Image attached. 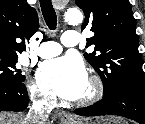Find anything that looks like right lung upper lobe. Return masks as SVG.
Listing matches in <instances>:
<instances>
[{
  "mask_svg": "<svg viewBox=\"0 0 145 124\" xmlns=\"http://www.w3.org/2000/svg\"><path fill=\"white\" fill-rule=\"evenodd\" d=\"M38 27L36 10L25 0H0V52L22 53Z\"/></svg>",
  "mask_w": 145,
  "mask_h": 124,
  "instance_id": "obj_1",
  "label": "right lung upper lobe"
}]
</instances>
